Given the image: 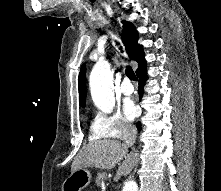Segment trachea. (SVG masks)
Listing matches in <instances>:
<instances>
[{
    "label": "trachea",
    "mask_w": 221,
    "mask_h": 191,
    "mask_svg": "<svg viewBox=\"0 0 221 191\" xmlns=\"http://www.w3.org/2000/svg\"><path fill=\"white\" fill-rule=\"evenodd\" d=\"M121 49V48H120ZM125 73L127 75V77L130 79V80H133V81H136L137 80V77L133 71V69L130 67V66H127L126 67V70H125Z\"/></svg>",
    "instance_id": "trachea-1"
}]
</instances>
